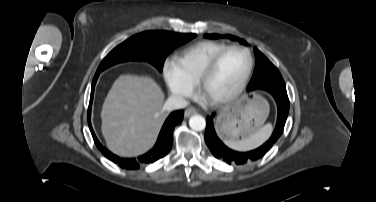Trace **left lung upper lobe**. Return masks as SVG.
Here are the masks:
<instances>
[{"mask_svg": "<svg viewBox=\"0 0 376 202\" xmlns=\"http://www.w3.org/2000/svg\"><path fill=\"white\" fill-rule=\"evenodd\" d=\"M204 37L209 39L227 37L244 43L243 40L232 35L205 34ZM254 53L256 56V68L247 90L252 91L260 88L264 90L278 89L286 92L284 80L278 69L257 48L254 49Z\"/></svg>", "mask_w": 376, "mask_h": 202, "instance_id": "5c2ea615", "label": "left lung upper lobe"}]
</instances>
